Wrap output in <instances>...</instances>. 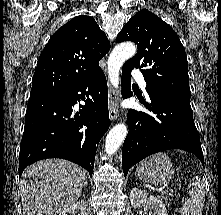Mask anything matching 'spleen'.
Wrapping results in <instances>:
<instances>
[{"label": "spleen", "instance_id": "obj_1", "mask_svg": "<svg viewBox=\"0 0 221 215\" xmlns=\"http://www.w3.org/2000/svg\"><path fill=\"white\" fill-rule=\"evenodd\" d=\"M204 183L200 177H195L189 184V198L180 208L182 215H201L205 201Z\"/></svg>", "mask_w": 221, "mask_h": 215}]
</instances>
